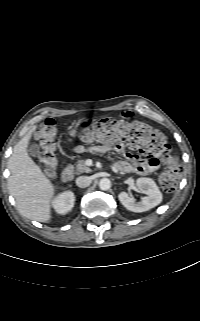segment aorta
<instances>
[{
	"label": "aorta",
	"instance_id": "1",
	"mask_svg": "<svg viewBox=\"0 0 200 321\" xmlns=\"http://www.w3.org/2000/svg\"><path fill=\"white\" fill-rule=\"evenodd\" d=\"M110 187H111V181H110V179H108V178H102V179L100 180V182H99V188H100L101 190L106 191V190H109Z\"/></svg>",
	"mask_w": 200,
	"mask_h": 321
}]
</instances>
